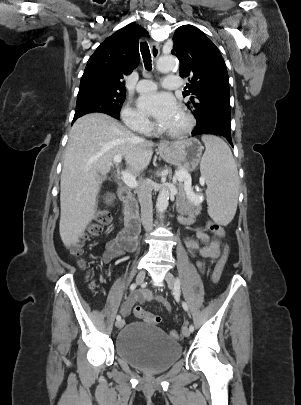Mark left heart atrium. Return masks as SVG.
<instances>
[{
	"instance_id": "39dd6f15",
	"label": "left heart atrium",
	"mask_w": 301,
	"mask_h": 405,
	"mask_svg": "<svg viewBox=\"0 0 301 405\" xmlns=\"http://www.w3.org/2000/svg\"><path fill=\"white\" fill-rule=\"evenodd\" d=\"M138 109L145 115L153 117L164 126L181 115V109L175 98L168 93L157 92L144 94L137 101Z\"/></svg>"
}]
</instances>
